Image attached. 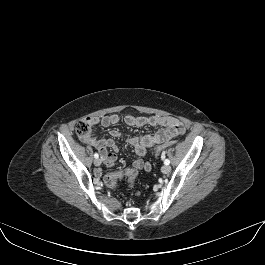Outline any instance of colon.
I'll return each instance as SVG.
<instances>
[{"mask_svg":"<svg viewBox=\"0 0 265 265\" xmlns=\"http://www.w3.org/2000/svg\"><path fill=\"white\" fill-rule=\"evenodd\" d=\"M76 132L78 136L82 139H88L93 137L92 128L88 120L79 121L76 126ZM171 145H173V142L171 141L158 145L154 150L155 156H160V155L163 156L165 150ZM123 177L127 178L129 186L133 188L135 179L137 177V170L134 168H126L124 170H119L111 174H108L105 177V183L108 187L114 189L117 187L119 179Z\"/></svg>","mask_w":265,"mask_h":265,"instance_id":"obj_1","label":"colon"}]
</instances>
